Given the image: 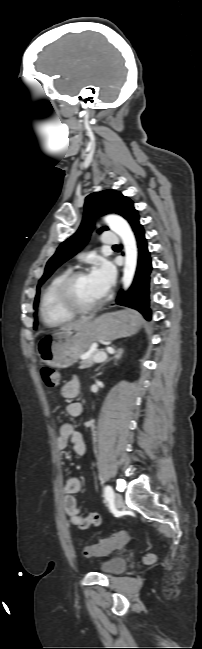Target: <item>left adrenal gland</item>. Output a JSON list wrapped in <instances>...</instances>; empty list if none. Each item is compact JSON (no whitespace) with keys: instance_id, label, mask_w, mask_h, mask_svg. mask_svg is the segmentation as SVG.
I'll return each instance as SVG.
<instances>
[{"instance_id":"left-adrenal-gland-1","label":"left adrenal gland","mask_w":202,"mask_h":649,"mask_svg":"<svg viewBox=\"0 0 202 649\" xmlns=\"http://www.w3.org/2000/svg\"><path fill=\"white\" fill-rule=\"evenodd\" d=\"M122 354H123V349L118 348V349L114 352V356H113V358L108 359V360L106 361V363L109 362V361L112 360V359H115V361H118V360L121 358ZM104 364H105V363H104ZM104 364H102L101 366H99L96 370H97V371L101 370V368H102V366H104Z\"/></svg>"}]
</instances>
